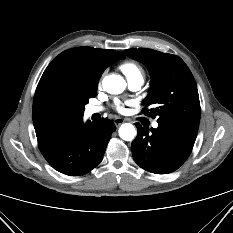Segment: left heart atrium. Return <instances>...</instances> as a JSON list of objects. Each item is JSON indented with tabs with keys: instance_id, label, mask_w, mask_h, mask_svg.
Segmentation results:
<instances>
[{
	"instance_id": "obj_1",
	"label": "left heart atrium",
	"mask_w": 233,
	"mask_h": 233,
	"mask_svg": "<svg viewBox=\"0 0 233 233\" xmlns=\"http://www.w3.org/2000/svg\"><path fill=\"white\" fill-rule=\"evenodd\" d=\"M116 109H117V111H119L121 113L125 111L124 105L122 103H120V102L116 103Z\"/></svg>"
}]
</instances>
